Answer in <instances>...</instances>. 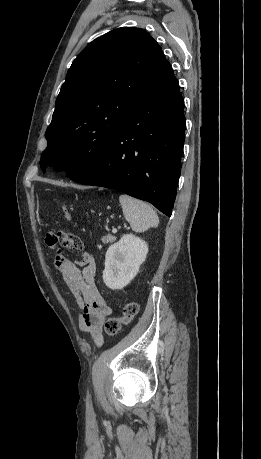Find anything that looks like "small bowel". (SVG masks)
Instances as JSON below:
<instances>
[{
	"label": "small bowel",
	"mask_w": 261,
	"mask_h": 459,
	"mask_svg": "<svg viewBox=\"0 0 261 459\" xmlns=\"http://www.w3.org/2000/svg\"><path fill=\"white\" fill-rule=\"evenodd\" d=\"M45 242L52 248L62 246L80 253V258L72 261L61 252H57L55 266L77 300L80 308V329L89 333L94 344L100 347L103 343L102 326L111 314V308L96 285V265L93 256L83 248L77 236L66 231L47 233Z\"/></svg>",
	"instance_id": "1"
}]
</instances>
